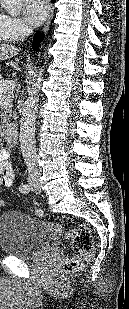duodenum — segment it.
<instances>
[{
  "mask_svg": "<svg viewBox=\"0 0 129 309\" xmlns=\"http://www.w3.org/2000/svg\"><path fill=\"white\" fill-rule=\"evenodd\" d=\"M4 139L9 146L14 145L18 139V128L15 124H9L4 131Z\"/></svg>",
  "mask_w": 129,
  "mask_h": 309,
  "instance_id": "duodenum-1",
  "label": "duodenum"
}]
</instances>
